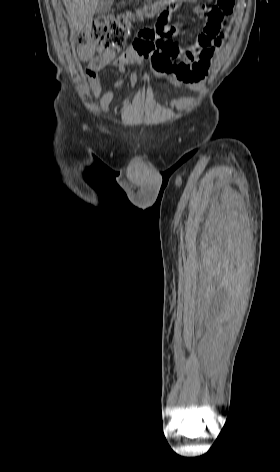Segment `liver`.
Returning a JSON list of instances; mask_svg holds the SVG:
<instances>
[{"instance_id": "6515ba94", "label": "liver", "mask_w": 280, "mask_h": 472, "mask_svg": "<svg viewBox=\"0 0 280 472\" xmlns=\"http://www.w3.org/2000/svg\"><path fill=\"white\" fill-rule=\"evenodd\" d=\"M69 15L71 27L81 31L84 25L91 21L96 10L98 0H63Z\"/></svg>"}]
</instances>
